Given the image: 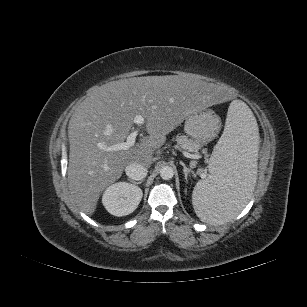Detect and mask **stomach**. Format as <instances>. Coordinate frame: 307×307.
<instances>
[{
  "mask_svg": "<svg viewBox=\"0 0 307 307\" xmlns=\"http://www.w3.org/2000/svg\"><path fill=\"white\" fill-rule=\"evenodd\" d=\"M219 129L220 118L210 110L195 111L185 119V133L198 142H210Z\"/></svg>",
  "mask_w": 307,
  "mask_h": 307,
  "instance_id": "obj_1",
  "label": "stomach"
}]
</instances>
